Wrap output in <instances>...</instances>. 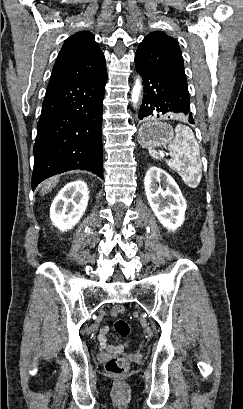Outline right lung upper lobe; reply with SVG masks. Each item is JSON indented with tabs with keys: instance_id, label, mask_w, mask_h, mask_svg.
Returning a JSON list of instances; mask_svg holds the SVG:
<instances>
[{
	"instance_id": "right-lung-upper-lobe-1",
	"label": "right lung upper lobe",
	"mask_w": 243,
	"mask_h": 409,
	"mask_svg": "<svg viewBox=\"0 0 243 409\" xmlns=\"http://www.w3.org/2000/svg\"><path fill=\"white\" fill-rule=\"evenodd\" d=\"M88 31L78 32L63 44L53 67L51 79H82L100 72L105 57Z\"/></svg>"
}]
</instances>
